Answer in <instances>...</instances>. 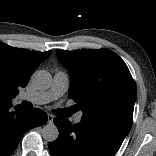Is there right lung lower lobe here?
<instances>
[{"mask_svg": "<svg viewBox=\"0 0 156 156\" xmlns=\"http://www.w3.org/2000/svg\"><path fill=\"white\" fill-rule=\"evenodd\" d=\"M10 107L0 108V156H9L26 131L48 120L47 114L41 109L26 110L17 106L16 112H11Z\"/></svg>", "mask_w": 156, "mask_h": 156, "instance_id": "obj_1", "label": "right lung lower lobe"}]
</instances>
